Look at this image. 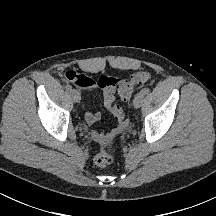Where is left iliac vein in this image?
I'll list each match as a JSON object with an SVG mask.
<instances>
[{"label": "left iliac vein", "instance_id": "left-iliac-vein-1", "mask_svg": "<svg viewBox=\"0 0 216 216\" xmlns=\"http://www.w3.org/2000/svg\"><path fill=\"white\" fill-rule=\"evenodd\" d=\"M143 97H144V95L141 92L136 94V96L133 100V105L135 108H139L142 105Z\"/></svg>", "mask_w": 216, "mask_h": 216}]
</instances>
